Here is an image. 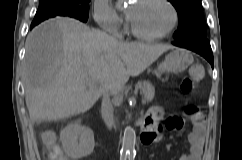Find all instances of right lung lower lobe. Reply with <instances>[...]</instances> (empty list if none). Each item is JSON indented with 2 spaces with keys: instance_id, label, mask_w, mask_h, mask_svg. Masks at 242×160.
Returning a JSON list of instances; mask_svg holds the SVG:
<instances>
[{
  "instance_id": "1",
  "label": "right lung lower lobe",
  "mask_w": 242,
  "mask_h": 160,
  "mask_svg": "<svg viewBox=\"0 0 242 160\" xmlns=\"http://www.w3.org/2000/svg\"><path fill=\"white\" fill-rule=\"evenodd\" d=\"M34 27V25H31V28H33Z\"/></svg>"
}]
</instances>
